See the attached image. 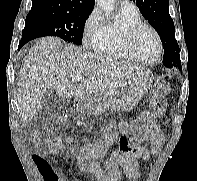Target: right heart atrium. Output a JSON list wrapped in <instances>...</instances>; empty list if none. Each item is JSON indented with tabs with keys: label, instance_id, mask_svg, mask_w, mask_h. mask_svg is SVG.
Listing matches in <instances>:
<instances>
[{
	"label": "right heart atrium",
	"instance_id": "d8ad5b80",
	"mask_svg": "<svg viewBox=\"0 0 197 181\" xmlns=\"http://www.w3.org/2000/svg\"><path fill=\"white\" fill-rule=\"evenodd\" d=\"M105 26L104 18L98 8H93L83 25V40L92 45L94 40L101 34Z\"/></svg>",
	"mask_w": 197,
	"mask_h": 181
}]
</instances>
